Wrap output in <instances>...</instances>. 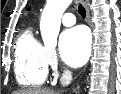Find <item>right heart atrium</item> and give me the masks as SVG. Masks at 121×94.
I'll use <instances>...</instances> for the list:
<instances>
[{
  "label": "right heart atrium",
  "instance_id": "right-heart-atrium-1",
  "mask_svg": "<svg viewBox=\"0 0 121 94\" xmlns=\"http://www.w3.org/2000/svg\"><path fill=\"white\" fill-rule=\"evenodd\" d=\"M46 62L47 65H49L53 69L56 68L58 61H57L56 52L53 49L49 48L46 49Z\"/></svg>",
  "mask_w": 121,
  "mask_h": 94
}]
</instances>
